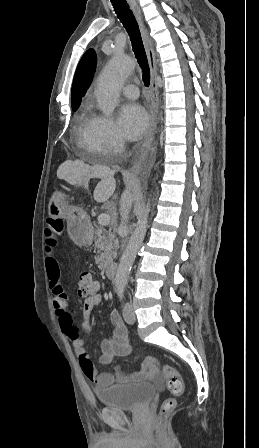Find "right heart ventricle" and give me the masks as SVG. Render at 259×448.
<instances>
[{
    "label": "right heart ventricle",
    "mask_w": 259,
    "mask_h": 448,
    "mask_svg": "<svg viewBox=\"0 0 259 448\" xmlns=\"http://www.w3.org/2000/svg\"><path fill=\"white\" fill-rule=\"evenodd\" d=\"M100 116L93 109L89 101H85L75 118V130L79 138L80 145L88 150L86 163H99L101 158L95 152V133Z\"/></svg>",
    "instance_id": "obj_1"
}]
</instances>
